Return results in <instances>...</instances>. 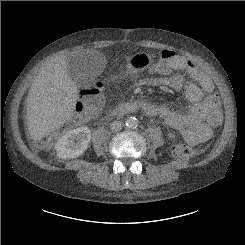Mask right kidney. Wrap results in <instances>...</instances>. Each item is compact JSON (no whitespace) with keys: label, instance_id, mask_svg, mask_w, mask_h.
I'll list each match as a JSON object with an SVG mask.
<instances>
[{"label":"right kidney","instance_id":"right-kidney-1","mask_svg":"<svg viewBox=\"0 0 245 245\" xmlns=\"http://www.w3.org/2000/svg\"><path fill=\"white\" fill-rule=\"evenodd\" d=\"M91 131L87 127H79L68 131L56 143L57 156L61 159L79 157L88 148Z\"/></svg>","mask_w":245,"mask_h":245}]
</instances>
